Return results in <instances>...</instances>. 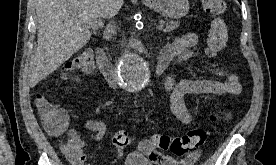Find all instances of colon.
Listing matches in <instances>:
<instances>
[{
	"label": "colon",
	"instance_id": "obj_1",
	"mask_svg": "<svg viewBox=\"0 0 276 165\" xmlns=\"http://www.w3.org/2000/svg\"><path fill=\"white\" fill-rule=\"evenodd\" d=\"M204 11L214 17L207 38V52L215 55L221 52L227 43L228 29L221 15L225 12L223 0H201ZM93 66V54L90 50H83L65 66L62 78L65 82L78 81L81 75L88 74ZM35 104L45 129L53 134H61L67 127L68 119L65 112L57 105L50 102L44 95L38 94ZM217 114L210 116V121L217 120ZM208 136V131L203 126H198L180 137H170L154 134L147 143L141 146L149 160L155 159L158 150L169 151L176 156H184L201 147ZM112 143L118 150H123L131 144V137L127 131H117L112 137ZM67 153L76 154V145L68 143L65 146Z\"/></svg>",
	"mask_w": 276,
	"mask_h": 165
}]
</instances>
